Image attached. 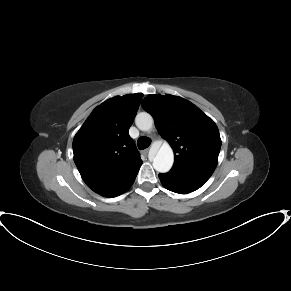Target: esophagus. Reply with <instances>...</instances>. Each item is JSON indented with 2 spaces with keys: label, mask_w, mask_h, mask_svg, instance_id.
<instances>
[{
  "label": "esophagus",
  "mask_w": 291,
  "mask_h": 291,
  "mask_svg": "<svg viewBox=\"0 0 291 291\" xmlns=\"http://www.w3.org/2000/svg\"><path fill=\"white\" fill-rule=\"evenodd\" d=\"M148 152H149V149H146V150L144 151L145 154H148Z\"/></svg>",
  "instance_id": "1"
}]
</instances>
